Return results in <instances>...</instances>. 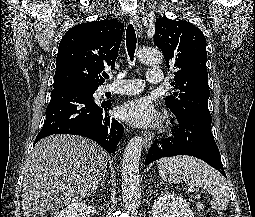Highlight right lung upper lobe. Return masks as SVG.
I'll list each match as a JSON object with an SVG mask.
<instances>
[{"label": "right lung upper lobe", "instance_id": "right-lung-upper-lobe-1", "mask_svg": "<svg viewBox=\"0 0 255 217\" xmlns=\"http://www.w3.org/2000/svg\"><path fill=\"white\" fill-rule=\"evenodd\" d=\"M124 26L116 20L78 24L69 29L58 47L53 88L65 85L97 87L104 67L114 68Z\"/></svg>", "mask_w": 255, "mask_h": 217}]
</instances>
